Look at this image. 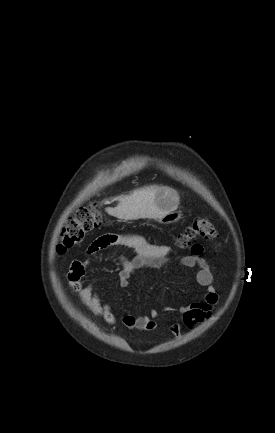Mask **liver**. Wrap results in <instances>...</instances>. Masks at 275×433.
<instances>
[{"mask_svg":"<svg viewBox=\"0 0 275 433\" xmlns=\"http://www.w3.org/2000/svg\"><path fill=\"white\" fill-rule=\"evenodd\" d=\"M158 189V186L137 189L130 195L117 198L119 204L115 208H106V212L123 220L156 219L162 215L155 203V195ZM107 203L108 201H105V204Z\"/></svg>","mask_w":275,"mask_h":433,"instance_id":"obj_1","label":"liver"}]
</instances>
